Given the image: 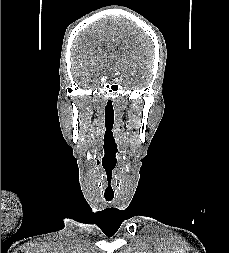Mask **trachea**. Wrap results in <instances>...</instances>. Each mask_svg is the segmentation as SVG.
Wrapping results in <instances>:
<instances>
[{
  "label": "trachea",
  "mask_w": 229,
  "mask_h": 253,
  "mask_svg": "<svg viewBox=\"0 0 229 253\" xmlns=\"http://www.w3.org/2000/svg\"><path fill=\"white\" fill-rule=\"evenodd\" d=\"M107 201H111L113 198H105Z\"/></svg>",
  "instance_id": "3493384b"
}]
</instances>
